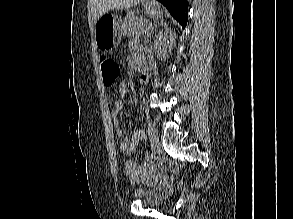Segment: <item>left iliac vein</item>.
Segmentation results:
<instances>
[{"label": "left iliac vein", "instance_id": "obj_1", "mask_svg": "<svg viewBox=\"0 0 293 219\" xmlns=\"http://www.w3.org/2000/svg\"><path fill=\"white\" fill-rule=\"evenodd\" d=\"M148 135L151 142V147L155 152H157L159 147V138H158V131L156 129L155 124L152 121H148Z\"/></svg>", "mask_w": 293, "mask_h": 219}]
</instances>
